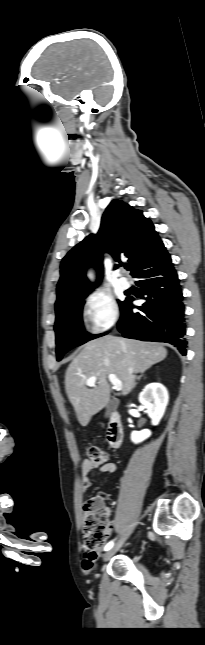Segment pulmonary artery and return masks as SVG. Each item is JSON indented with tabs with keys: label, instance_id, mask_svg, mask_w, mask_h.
<instances>
[{
	"label": "pulmonary artery",
	"instance_id": "1",
	"mask_svg": "<svg viewBox=\"0 0 205 645\" xmlns=\"http://www.w3.org/2000/svg\"><path fill=\"white\" fill-rule=\"evenodd\" d=\"M118 284L122 289H128L130 287V282L125 276L119 277Z\"/></svg>",
	"mask_w": 205,
	"mask_h": 645
}]
</instances>
